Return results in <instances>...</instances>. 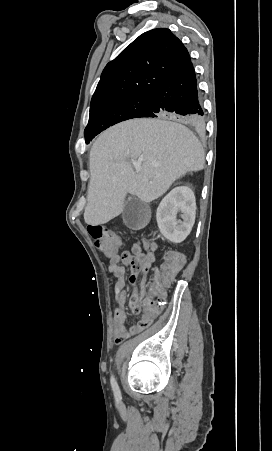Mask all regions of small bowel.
<instances>
[{
  "instance_id": "1",
  "label": "small bowel",
  "mask_w": 272,
  "mask_h": 451,
  "mask_svg": "<svg viewBox=\"0 0 272 451\" xmlns=\"http://www.w3.org/2000/svg\"><path fill=\"white\" fill-rule=\"evenodd\" d=\"M145 242H137L134 243L131 247L130 252H138L139 256H145L147 258V261L151 262V267L155 263V254H154V246L150 244L149 247L144 246ZM108 272L112 274L116 278V283L113 287V295H114V301H115V309H114V320L113 325L116 332H122L123 328V312L124 305H125V299L126 294L124 287L126 285V273L125 274H113L111 272V269L109 268L108 264ZM149 270L147 271L148 274ZM147 274H142V284H145L147 281ZM138 275L139 274H132L129 277V284L132 287V296L130 299V306L132 308V304H134L135 300H137L138 291H137V283H138ZM138 314V313H136ZM145 316V313H144Z\"/></svg>"
}]
</instances>
